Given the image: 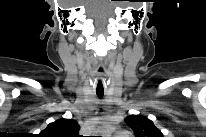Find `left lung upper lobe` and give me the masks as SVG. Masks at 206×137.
Wrapping results in <instances>:
<instances>
[{
    "instance_id": "1",
    "label": "left lung upper lobe",
    "mask_w": 206,
    "mask_h": 137,
    "mask_svg": "<svg viewBox=\"0 0 206 137\" xmlns=\"http://www.w3.org/2000/svg\"><path fill=\"white\" fill-rule=\"evenodd\" d=\"M125 122L134 131L136 137H163L153 122L144 116L130 115Z\"/></svg>"
}]
</instances>
